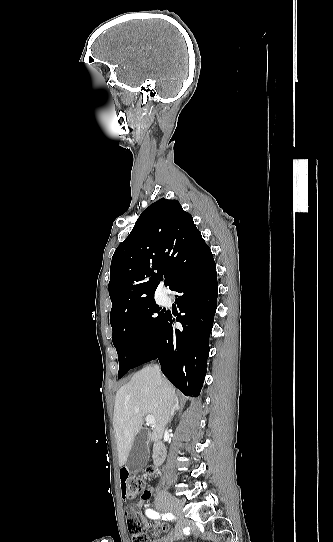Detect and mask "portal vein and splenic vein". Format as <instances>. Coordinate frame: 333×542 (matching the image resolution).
Instances as JSON below:
<instances>
[{
    "label": "portal vein and splenic vein",
    "mask_w": 333,
    "mask_h": 542,
    "mask_svg": "<svg viewBox=\"0 0 333 542\" xmlns=\"http://www.w3.org/2000/svg\"><path fill=\"white\" fill-rule=\"evenodd\" d=\"M145 422H146V424H151V426H153V424H155L154 416H146Z\"/></svg>",
    "instance_id": "obj_1"
}]
</instances>
